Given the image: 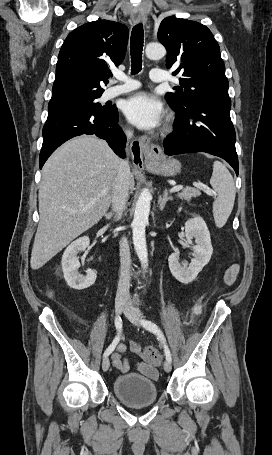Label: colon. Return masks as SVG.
Masks as SVG:
<instances>
[{"label": "colon", "mask_w": 272, "mask_h": 455, "mask_svg": "<svg viewBox=\"0 0 272 455\" xmlns=\"http://www.w3.org/2000/svg\"><path fill=\"white\" fill-rule=\"evenodd\" d=\"M195 313L196 314H199L200 313V307L197 306L195 308ZM144 358L154 364V365H157V364H160L161 361H162V355L160 354V352L153 348V347H147L145 350H144Z\"/></svg>", "instance_id": "1"}]
</instances>
